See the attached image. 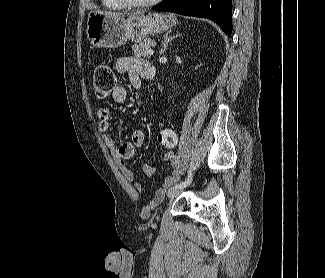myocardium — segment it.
<instances>
[{
    "mask_svg": "<svg viewBox=\"0 0 325 278\" xmlns=\"http://www.w3.org/2000/svg\"><path fill=\"white\" fill-rule=\"evenodd\" d=\"M120 3H122L126 7L130 8H143V7H150L157 3H159L161 0H118Z\"/></svg>",
    "mask_w": 325,
    "mask_h": 278,
    "instance_id": "f54148a6",
    "label": "myocardium"
}]
</instances>
